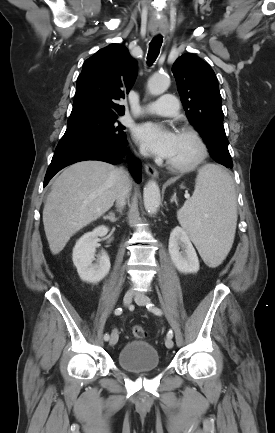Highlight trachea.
I'll use <instances>...</instances> for the list:
<instances>
[{
  "instance_id": "3493384b",
  "label": "trachea",
  "mask_w": 275,
  "mask_h": 433,
  "mask_svg": "<svg viewBox=\"0 0 275 433\" xmlns=\"http://www.w3.org/2000/svg\"><path fill=\"white\" fill-rule=\"evenodd\" d=\"M162 41V37L158 36L149 43V51L147 55V62L149 65H151L157 59Z\"/></svg>"
}]
</instances>
